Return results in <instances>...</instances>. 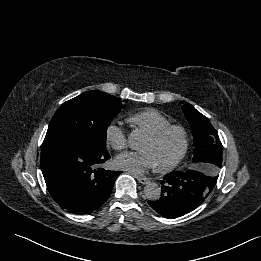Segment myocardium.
<instances>
[{"label": "myocardium", "instance_id": "1", "mask_svg": "<svg viewBox=\"0 0 261 261\" xmlns=\"http://www.w3.org/2000/svg\"><path fill=\"white\" fill-rule=\"evenodd\" d=\"M174 132L178 133L181 137V141H182L181 149L178 155L172 161L168 162L167 164L157 166V170L159 172L162 173L169 172L175 167H177L184 160V158L188 153L189 145H190L189 134L186 128L183 127L182 125L170 124L148 136V138L153 142H160L163 139H165L169 134Z\"/></svg>", "mask_w": 261, "mask_h": 261}]
</instances>
